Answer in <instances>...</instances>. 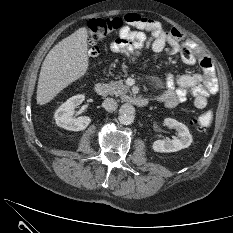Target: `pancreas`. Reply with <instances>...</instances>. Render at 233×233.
<instances>
[{
  "label": "pancreas",
  "mask_w": 233,
  "mask_h": 233,
  "mask_svg": "<svg viewBox=\"0 0 233 233\" xmlns=\"http://www.w3.org/2000/svg\"><path fill=\"white\" fill-rule=\"evenodd\" d=\"M108 94L115 96H123L127 92H129V87L120 81H111L107 84Z\"/></svg>",
  "instance_id": "obj_1"
}]
</instances>
